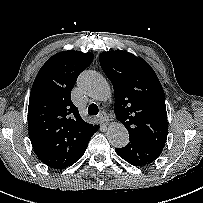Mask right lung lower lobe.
Returning <instances> with one entry per match:
<instances>
[{"label": "right lung lower lobe", "instance_id": "obj_1", "mask_svg": "<svg viewBox=\"0 0 203 203\" xmlns=\"http://www.w3.org/2000/svg\"><path fill=\"white\" fill-rule=\"evenodd\" d=\"M87 146H88V144L84 147V149L82 150V152L80 153V155L77 157L76 161H77L78 159H80V158L83 156V154H84V152H85ZM76 161H75V162H76ZM75 162H74V163H75ZM74 163H73V164H74Z\"/></svg>", "mask_w": 203, "mask_h": 203}]
</instances>
